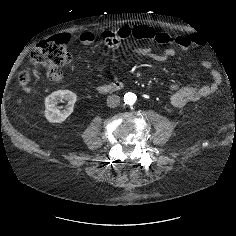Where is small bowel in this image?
<instances>
[{"label": "small bowel", "instance_id": "1", "mask_svg": "<svg viewBox=\"0 0 236 236\" xmlns=\"http://www.w3.org/2000/svg\"><path fill=\"white\" fill-rule=\"evenodd\" d=\"M63 37L68 39L66 34H62ZM136 38L142 40H151L158 44L167 46L161 51L154 52L143 49L149 53V55L160 62H166L171 60L177 53L178 50H185L191 46L200 45L202 38L198 34H191L188 36L184 35H173L164 32H158L155 29L144 26H123L116 31L105 30L100 33L101 41L110 49H118L121 42L127 38ZM80 41L83 45H92L95 41V35L92 32L86 31L80 35ZM201 65L204 68H210L211 63L208 60L202 61ZM96 70L101 71L102 67L99 64H95ZM212 82L208 85L201 86H190V85H179L169 84L168 89L171 91V102L173 106L182 108L189 103L195 102L201 98H204L212 93L219 90L222 77L218 71L213 70L211 72ZM58 74L53 76V80L60 81Z\"/></svg>", "mask_w": 236, "mask_h": 236}]
</instances>
